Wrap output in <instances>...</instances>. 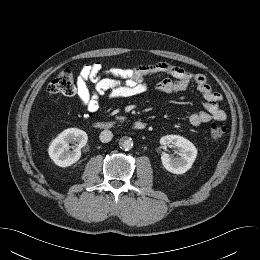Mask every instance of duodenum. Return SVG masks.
Wrapping results in <instances>:
<instances>
[{"label": "duodenum", "instance_id": "obj_1", "mask_svg": "<svg viewBox=\"0 0 260 260\" xmlns=\"http://www.w3.org/2000/svg\"><path fill=\"white\" fill-rule=\"evenodd\" d=\"M133 128L139 131L145 129L146 124L142 121H136L133 123ZM94 127L98 130H107L115 127V123L111 121H96L94 122Z\"/></svg>", "mask_w": 260, "mask_h": 260}]
</instances>
